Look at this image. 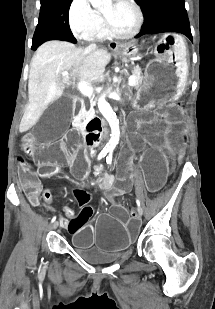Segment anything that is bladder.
<instances>
[{
	"label": "bladder",
	"mask_w": 215,
	"mask_h": 309,
	"mask_svg": "<svg viewBox=\"0 0 215 309\" xmlns=\"http://www.w3.org/2000/svg\"><path fill=\"white\" fill-rule=\"evenodd\" d=\"M86 261L92 264H110L113 263L121 257L120 254H80Z\"/></svg>",
	"instance_id": "obj_1"
}]
</instances>
